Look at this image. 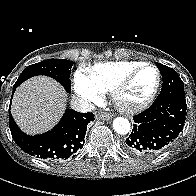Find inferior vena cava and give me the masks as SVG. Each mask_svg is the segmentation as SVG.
<instances>
[{
    "mask_svg": "<svg viewBox=\"0 0 196 196\" xmlns=\"http://www.w3.org/2000/svg\"><path fill=\"white\" fill-rule=\"evenodd\" d=\"M71 108L75 111L86 113L94 110L95 106L92 102L81 96H73L71 100Z\"/></svg>",
    "mask_w": 196,
    "mask_h": 196,
    "instance_id": "obj_1",
    "label": "inferior vena cava"
}]
</instances>
